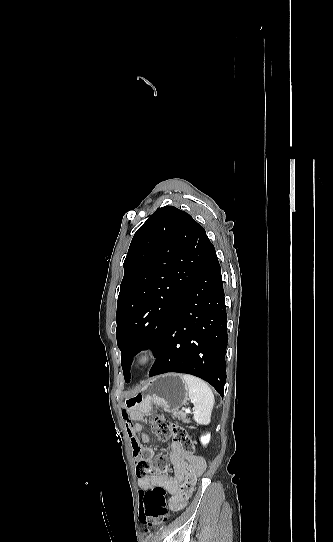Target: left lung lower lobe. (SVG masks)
I'll use <instances>...</instances> for the list:
<instances>
[{"label": "left lung lower lobe", "mask_w": 333, "mask_h": 542, "mask_svg": "<svg viewBox=\"0 0 333 542\" xmlns=\"http://www.w3.org/2000/svg\"><path fill=\"white\" fill-rule=\"evenodd\" d=\"M226 328L221 268L213 246L165 329L149 377L167 372L191 374L210 383L223 397Z\"/></svg>", "instance_id": "1"}]
</instances>
